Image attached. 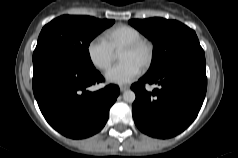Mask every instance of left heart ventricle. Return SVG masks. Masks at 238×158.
<instances>
[{"instance_id":"1","label":"left heart ventricle","mask_w":238,"mask_h":158,"mask_svg":"<svg viewBox=\"0 0 238 158\" xmlns=\"http://www.w3.org/2000/svg\"><path fill=\"white\" fill-rule=\"evenodd\" d=\"M147 56V50L145 48H140L135 51H126L123 50L120 52L119 58L121 61H133L136 64L142 66L144 60Z\"/></svg>"}]
</instances>
